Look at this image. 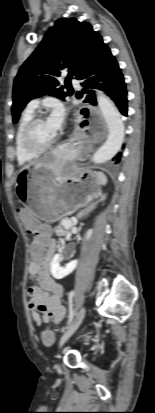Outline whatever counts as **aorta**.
Masks as SVG:
<instances>
[{"instance_id":"aorta-1","label":"aorta","mask_w":155,"mask_h":413,"mask_svg":"<svg viewBox=\"0 0 155 413\" xmlns=\"http://www.w3.org/2000/svg\"><path fill=\"white\" fill-rule=\"evenodd\" d=\"M97 103L108 128L107 140L92 157V161L99 164L107 162L117 154L122 146L125 133L123 118L110 98L97 92Z\"/></svg>"}]
</instances>
